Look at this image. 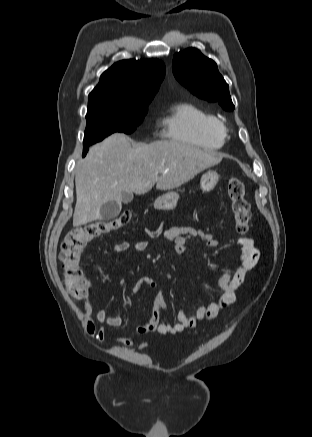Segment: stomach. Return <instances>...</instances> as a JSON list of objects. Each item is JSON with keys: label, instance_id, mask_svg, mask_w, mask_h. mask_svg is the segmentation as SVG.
<instances>
[{"label": "stomach", "instance_id": "stomach-1", "mask_svg": "<svg viewBox=\"0 0 312 437\" xmlns=\"http://www.w3.org/2000/svg\"><path fill=\"white\" fill-rule=\"evenodd\" d=\"M219 175L214 170H208L202 175L200 180L201 189L203 192H210L218 183ZM179 200V194L174 191L163 194L154 202V208L157 210H173L176 208Z\"/></svg>", "mask_w": 312, "mask_h": 437}]
</instances>
